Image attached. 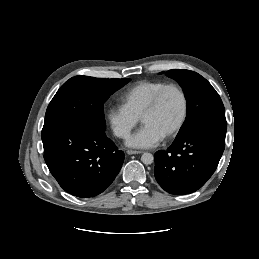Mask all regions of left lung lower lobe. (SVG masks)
<instances>
[{
  "instance_id": "1",
  "label": "left lung lower lobe",
  "mask_w": 259,
  "mask_h": 259,
  "mask_svg": "<svg viewBox=\"0 0 259 259\" xmlns=\"http://www.w3.org/2000/svg\"><path fill=\"white\" fill-rule=\"evenodd\" d=\"M227 125L205 124L181 138L167 150L155 153V178L171 194H189L212 176L225 148Z\"/></svg>"
}]
</instances>
